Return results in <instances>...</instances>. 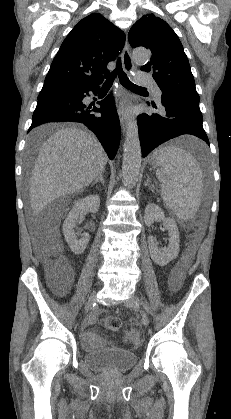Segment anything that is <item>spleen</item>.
Here are the masks:
<instances>
[{"instance_id": "3e777b00", "label": "spleen", "mask_w": 231, "mask_h": 419, "mask_svg": "<svg viewBox=\"0 0 231 419\" xmlns=\"http://www.w3.org/2000/svg\"><path fill=\"white\" fill-rule=\"evenodd\" d=\"M164 204L182 220L192 219L199 209L203 174L196 159L177 146H161L152 155Z\"/></svg>"}]
</instances>
